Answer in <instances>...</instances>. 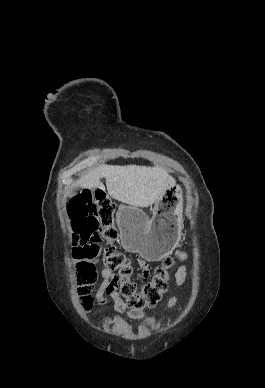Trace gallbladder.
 Returning <instances> with one entry per match:
<instances>
[{"label": "gallbladder", "instance_id": "gallbladder-1", "mask_svg": "<svg viewBox=\"0 0 265 388\" xmlns=\"http://www.w3.org/2000/svg\"><path fill=\"white\" fill-rule=\"evenodd\" d=\"M80 188H74V190H72L71 192V196H75V194H78Z\"/></svg>", "mask_w": 265, "mask_h": 388}]
</instances>
